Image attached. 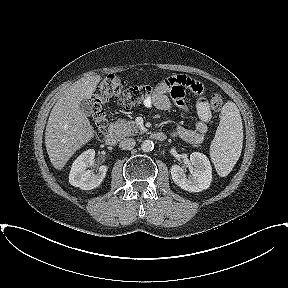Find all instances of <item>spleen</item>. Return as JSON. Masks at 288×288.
Here are the masks:
<instances>
[{
    "label": "spleen",
    "mask_w": 288,
    "mask_h": 288,
    "mask_svg": "<svg viewBox=\"0 0 288 288\" xmlns=\"http://www.w3.org/2000/svg\"><path fill=\"white\" fill-rule=\"evenodd\" d=\"M243 144V126L239 109L229 101L221 111V120L210 146V157L219 176H227L238 161Z\"/></svg>",
    "instance_id": "1"
}]
</instances>
